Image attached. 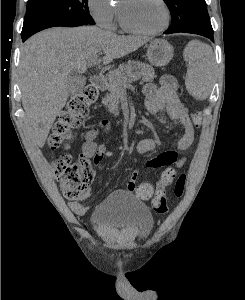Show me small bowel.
I'll list each match as a JSON object with an SVG mask.
<instances>
[{"mask_svg": "<svg viewBox=\"0 0 245 300\" xmlns=\"http://www.w3.org/2000/svg\"><path fill=\"white\" fill-rule=\"evenodd\" d=\"M143 96L145 99V107L150 114H156L166 109L171 119L176 121L182 128V136L176 143L179 151H187L195 144V132L193 124L190 120L188 110L181 100V94L176 79L171 75H163L160 84H146L143 87ZM112 129V124L107 120L100 121L96 126L87 130L84 134V142L82 145L81 158L92 160L97 166L103 157H113L114 153L107 150L104 145L97 143V138L102 131L108 134ZM156 148V141L153 138H144L137 143L136 150L139 154L151 153ZM187 161L186 156L179 157L177 152L169 151L158 155L146 163L148 168H162V172L157 181L156 190H165L170 188L173 180L176 179V171L179 170ZM138 177V171L134 170L126 184V191L133 193L135 182ZM90 196L87 191L81 199L69 202V207L76 214H84L88 207L82 203V200Z\"/></svg>", "mask_w": 245, "mask_h": 300, "instance_id": "c3829d8e", "label": "small bowel"}]
</instances>
